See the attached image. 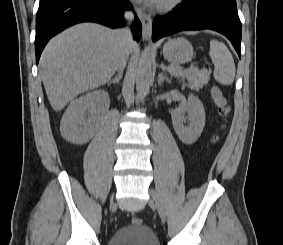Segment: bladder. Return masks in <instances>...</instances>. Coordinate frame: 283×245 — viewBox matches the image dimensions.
I'll list each match as a JSON object with an SVG mask.
<instances>
[{"label": "bladder", "instance_id": "31cf9c89", "mask_svg": "<svg viewBox=\"0 0 283 245\" xmlns=\"http://www.w3.org/2000/svg\"><path fill=\"white\" fill-rule=\"evenodd\" d=\"M108 245H160L153 230L146 225H128L116 230Z\"/></svg>", "mask_w": 283, "mask_h": 245}]
</instances>
